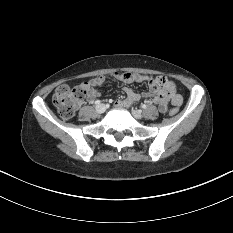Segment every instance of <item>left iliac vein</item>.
Segmentation results:
<instances>
[{
    "mask_svg": "<svg viewBox=\"0 0 233 233\" xmlns=\"http://www.w3.org/2000/svg\"><path fill=\"white\" fill-rule=\"evenodd\" d=\"M132 114L136 119H142L143 118L142 112L140 110H133L132 109Z\"/></svg>",
    "mask_w": 233,
    "mask_h": 233,
    "instance_id": "1",
    "label": "left iliac vein"
}]
</instances>
